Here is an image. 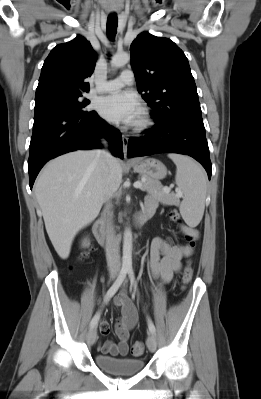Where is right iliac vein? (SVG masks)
I'll return each instance as SVG.
<instances>
[{
	"mask_svg": "<svg viewBox=\"0 0 261 399\" xmlns=\"http://www.w3.org/2000/svg\"><path fill=\"white\" fill-rule=\"evenodd\" d=\"M114 277H112L113 279ZM96 337H97V332H96V328H91L88 332L87 335V343L88 345H93L96 341Z\"/></svg>",
	"mask_w": 261,
	"mask_h": 399,
	"instance_id": "63e3f726",
	"label": "right iliac vein"
}]
</instances>
